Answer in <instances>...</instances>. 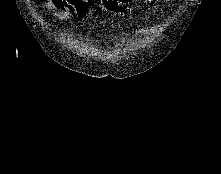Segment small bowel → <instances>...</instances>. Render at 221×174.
<instances>
[{
	"label": "small bowel",
	"mask_w": 221,
	"mask_h": 174,
	"mask_svg": "<svg viewBox=\"0 0 221 174\" xmlns=\"http://www.w3.org/2000/svg\"><path fill=\"white\" fill-rule=\"evenodd\" d=\"M159 0H146L147 5H151ZM133 0H45L44 7L54 17L60 20L76 18L83 20L91 15L95 16L98 11L104 9L109 12L127 16L132 14L134 8L131 7ZM92 6H95L92 9Z\"/></svg>",
	"instance_id": "1"
}]
</instances>
